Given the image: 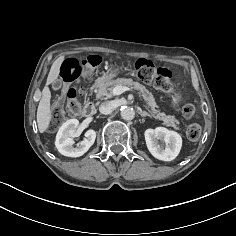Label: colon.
<instances>
[{
	"label": "colon",
	"mask_w": 236,
	"mask_h": 236,
	"mask_svg": "<svg viewBox=\"0 0 236 236\" xmlns=\"http://www.w3.org/2000/svg\"><path fill=\"white\" fill-rule=\"evenodd\" d=\"M100 61L96 56H89L85 59L67 58L60 66V78L65 83L73 84L67 89V101L65 106L56 107L52 113L49 124L50 130H55L66 118L67 115L76 116L82 112L80 101V82L83 74H88L93 68L99 65ZM137 77L155 88L165 93L174 92V86L170 81V71L156 65L149 59H139L134 66ZM182 114L186 119H192L196 116V108L187 104L182 108ZM201 127L197 123H191L187 126L186 135L188 139L194 141L200 137Z\"/></svg>",
	"instance_id": "colon-1"
}]
</instances>
